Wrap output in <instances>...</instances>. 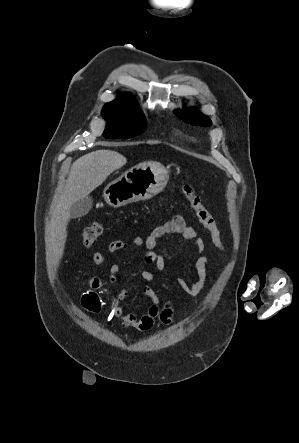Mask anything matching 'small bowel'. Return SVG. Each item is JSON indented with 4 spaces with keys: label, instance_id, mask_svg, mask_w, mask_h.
<instances>
[{
    "label": "small bowel",
    "instance_id": "obj_1",
    "mask_svg": "<svg viewBox=\"0 0 299 443\" xmlns=\"http://www.w3.org/2000/svg\"><path fill=\"white\" fill-rule=\"evenodd\" d=\"M166 235H178L181 239L191 241L192 249L196 252H202L205 249L204 241L198 236L195 229L186 225L183 217L176 215L173 216L166 223L156 226L150 230L145 238L135 236L130 240L132 247L145 246V260L149 264H153L157 271L163 272L165 270L164 257L156 252L158 241L161 237ZM127 244L123 241L117 240L111 242L109 245L110 253H117L126 249ZM93 261L96 265H105L106 255L101 252H97L93 256ZM208 260L206 257H199L195 262V269L197 272V280L194 282L187 281L185 279H178V286L188 294L193 303H196L199 295L203 291L206 285V270ZM120 266L113 264L105 269V275L103 278L91 277L88 281L91 288L82 297L83 306L91 312H99L101 310V301L98 296L97 290H104L109 286L114 285L117 282L118 275L120 274ZM140 277L146 282H153L155 280L154 274L149 270H142ZM143 293L151 301V304L147 312L141 316L135 313H125L121 307V303L128 297V292L124 289L116 291L111 299V312L119 318L124 328H134L139 331L150 330L158 321L162 324L168 325L173 322L174 313L171 302L162 303L157 293L145 286Z\"/></svg>",
    "mask_w": 299,
    "mask_h": 443
}]
</instances>
